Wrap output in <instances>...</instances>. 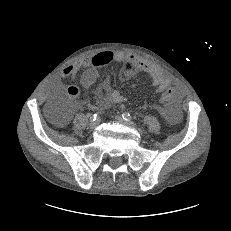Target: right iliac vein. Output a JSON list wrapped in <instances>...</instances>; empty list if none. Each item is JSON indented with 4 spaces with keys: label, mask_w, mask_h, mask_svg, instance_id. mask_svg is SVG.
Wrapping results in <instances>:
<instances>
[{
    "label": "right iliac vein",
    "mask_w": 231,
    "mask_h": 231,
    "mask_svg": "<svg viewBox=\"0 0 231 231\" xmlns=\"http://www.w3.org/2000/svg\"><path fill=\"white\" fill-rule=\"evenodd\" d=\"M98 125L97 121H91L89 124L90 129H95Z\"/></svg>",
    "instance_id": "obj_1"
}]
</instances>
